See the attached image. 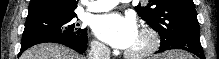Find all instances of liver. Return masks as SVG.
<instances>
[{
  "label": "liver",
  "mask_w": 219,
  "mask_h": 59,
  "mask_svg": "<svg viewBox=\"0 0 219 59\" xmlns=\"http://www.w3.org/2000/svg\"><path fill=\"white\" fill-rule=\"evenodd\" d=\"M20 59H85V57L65 46L44 43L29 48Z\"/></svg>",
  "instance_id": "6515ba94"
}]
</instances>
